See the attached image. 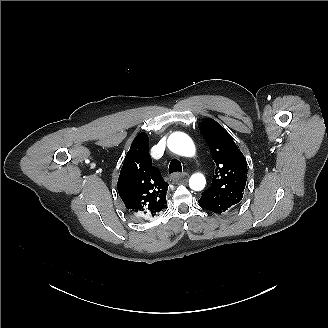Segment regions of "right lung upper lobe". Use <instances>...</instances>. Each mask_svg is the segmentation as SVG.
Segmentation results:
<instances>
[{
    "instance_id": "1",
    "label": "right lung upper lobe",
    "mask_w": 328,
    "mask_h": 328,
    "mask_svg": "<svg viewBox=\"0 0 328 328\" xmlns=\"http://www.w3.org/2000/svg\"><path fill=\"white\" fill-rule=\"evenodd\" d=\"M146 133L136 136L122 166L117 188L130 215L148 220L166 207V183L152 166Z\"/></svg>"
}]
</instances>
